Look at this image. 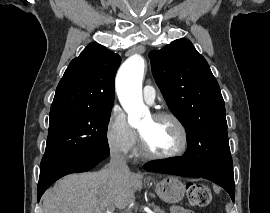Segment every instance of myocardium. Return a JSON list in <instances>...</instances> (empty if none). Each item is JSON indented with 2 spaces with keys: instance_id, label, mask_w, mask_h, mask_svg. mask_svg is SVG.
Here are the masks:
<instances>
[{
  "instance_id": "f54148a6",
  "label": "myocardium",
  "mask_w": 270,
  "mask_h": 213,
  "mask_svg": "<svg viewBox=\"0 0 270 213\" xmlns=\"http://www.w3.org/2000/svg\"><path fill=\"white\" fill-rule=\"evenodd\" d=\"M152 117L155 120H160V119L172 120L178 127L179 131L181 132L182 143H181V146L174 152L167 153V154H156L149 150L143 136L139 132V149H140V153L142 157L148 160H171V159H176L183 156L187 152L188 147H189V134L182 120L178 116H176L174 113H171L168 111H158L154 113Z\"/></svg>"
}]
</instances>
